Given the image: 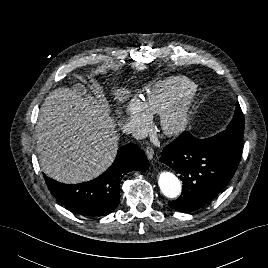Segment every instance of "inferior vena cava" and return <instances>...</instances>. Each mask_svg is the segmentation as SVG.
<instances>
[{
    "label": "inferior vena cava",
    "instance_id": "obj_1",
    "mask_svg": "<svg viewBox=\"0 0 268 268\" xmlns=\"http://www.w3.org/2000/svg\"><path fill=\"white\" fill-rule=\"evenodd\" d=\"M122 131L124 133L128 134V135L129 134H132L137 139H139L141 137L140 134H139V132H138V130L134 126H132L130 124H125L122 127Z\"/></svg>",
    "mask_w": 268,
    "mask_h": 268
}]
</instances>
